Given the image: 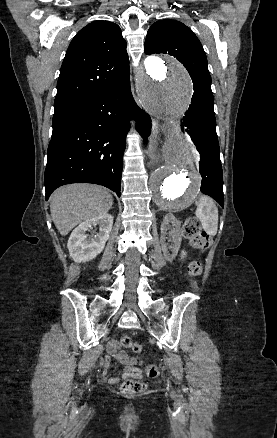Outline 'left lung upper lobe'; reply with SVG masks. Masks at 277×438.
<instances>
[{
    "mask_svg": "<svg viewBox=\"0 0 277 438\" xmlns=\"http://www.w3.org/2000/svg\"><path fill=\"white\" fill-rule=\"evenodd\" d=\"M144 51L147 55L169 54L180 61L193 81V98L199 104L213 102L211 77L203 47L185 24L175 20H158L148 30Z\"/></svg>",
    "mask_w": 277,
    "mask_h": 438,
    "instance_id": "1",
    "label": "left lung upper lobe"
}]
</instances>
